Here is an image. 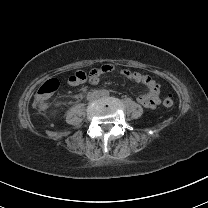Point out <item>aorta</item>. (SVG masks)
I'll list each match as a JSON object with an SVG mask.
<instances>
[{"mask_svg":"<svg viewBox=\"0 0 208 208\" xmlns=\"http://www.w3.org/2000/svg\"><path fill=\"white\" fill-rule=\"evenodd\" d=\"M100 96H101L102 99L107 100V99L110 98L111 93H110L109 90L104 89V90L101 91Z\"/></svg>","mask_w":208,"mask_h":208,"instance_id":"aorta-1","label":"aorta"}]
</instances>
